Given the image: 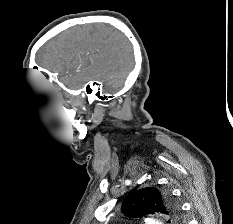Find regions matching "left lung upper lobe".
<instances>
[{"mask_svg":"<svg viewBox=\"0 0 233 224\" xmlns=\"http://www.w3.org/2000/svg\"><path fill=\"white\" fill-rule=\"evenodd\" d=\"M122 212L128 217L161 213L170 218L169 223H178L180 210L169 193L155 187H147L129 194L122 203Z\"/></svg>","mask_w":233,"mask_h":224,"instance_id":"5c2ea615","label":"left lung upper lobe"}]
</instances>
